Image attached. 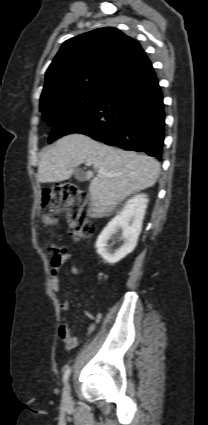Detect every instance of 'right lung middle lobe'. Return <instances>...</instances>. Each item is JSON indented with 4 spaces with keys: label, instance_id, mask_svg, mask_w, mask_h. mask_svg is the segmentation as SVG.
I'll list each match as a JSON object with an SVG mask.
<instances>
[{
    "label": "right lung middle lobe",
    "instance_id": "1",
    "mask_svg": "<svg viewBox=\"0 0 208 425\" xmlns=\"http://www.w3.org/2000/svg\"><path fill=\"white\" fill-rule=\"evenodd\" d=\"M105 92V89H84L40 102L42 117L50 126H54L64 116L77 113L95 104Z\"/></svg>",
    "mask_w": 208,
    "mask_h": 425
}]
</instances>
